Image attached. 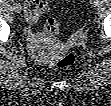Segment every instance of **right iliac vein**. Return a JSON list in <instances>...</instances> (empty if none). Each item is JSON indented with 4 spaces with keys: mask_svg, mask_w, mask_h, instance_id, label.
<instances>
[{
    "mask_svg": "<svg viewBox=\"0 0 111 106\" xmlns=\"http://www.w3.org/2000/svg\"><path fill=\"white\" fill-rule=\"evenodd\" d=\"M13 9L16 13H21V6L19 4H14Z\"/></svg>",
    "mask_w": 111,
    "mask_h": 106,
    "instance_id": "63e3f726",
    "label": "right iliac vein"
}]
</instances>
